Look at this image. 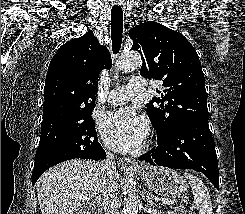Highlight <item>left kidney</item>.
<instances>
[{"label": "left kidney", "mask_w": 245, "mask_h": 214, "mask_svg": "<svg viewBox=\"0 0 245 214\" xmlns=\"http://www.w3.org/2000/svg\"><path fill=\"white\" fill-rule=\"evenodd\" d=\"M169 214H174L173 212H170Z\"/></svg>", "instance_id": "1"}]
</instances>
